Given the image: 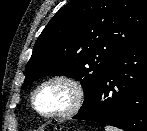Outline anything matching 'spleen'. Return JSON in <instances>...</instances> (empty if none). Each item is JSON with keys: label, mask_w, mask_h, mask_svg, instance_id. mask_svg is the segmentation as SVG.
<instances>
[{"label": "spleen", "mask_w": 147, "mask_h": 131, "mask_svg": "<svg viewBox=\"0 0 147 131\" xmlns=\"http://www.w3.org/2000/svg\"><path fill=\"white\" fill-rule=\"evenodd\" d=\"M105 131H119V130L112 126H105Z\"/></svg>", "instance_id": "obj_1"}]
</instances>
